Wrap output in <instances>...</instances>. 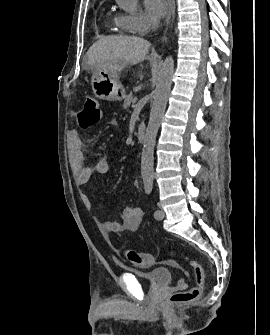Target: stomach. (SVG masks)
Listing matches in <instances>:
<instances>
[{
    "label": "stomach",
    "mask_w": 270,
    "mask_h": 335,
    "mask_svg": "<svg viewBox=\"0 0 270 335\" xmlns=\"http://www.w3.org/2000/svg\"><path fill=\"white\" fill-rule=\"evenodd\" d=\"M90 86L95 98H100V100L121 102L125 98L124 86L118 74H114L113 67L95 68L90 78Z\"/></svg>",
    "instance_id": "stomach-1"
}]
</instances>
